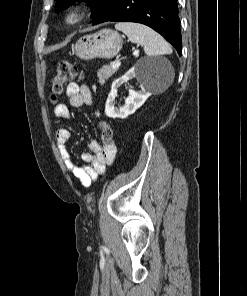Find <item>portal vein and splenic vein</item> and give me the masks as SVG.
I'll list each match as a JSON object with an SVG mask.
<instances>
[{
	"label": "portal vein and splenic vein",
	"mask_w": 247,
	"mask_h": 296,
	"mask_svg": "<svg viewBox=\"0 0 247 296\" xmlns=\"http://www.w3.org/2000/svg\"><path fill=\"white\" fill-rule=\"evenodd\" d=\"M120 65H121L120 60H117V61H115V62H113V63L111 64V67H112L113 69H115V68H118Z\"/></svg>",
	"instance_id": "portal-vein-and-splenic-vein-1"
}]
</instances>
